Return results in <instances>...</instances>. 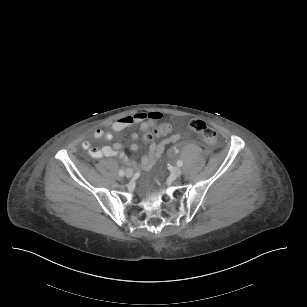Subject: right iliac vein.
Returning <instances> with one entry per match:
<instances>
[{
  "mask_svg": "<svg viewBox=\"0 0 307 307\" xmlns=\"http://www.w3.org/2000/svg\"><path fill=\"white\" fill-rule=\"evenodd\" d=\"M134 175V171L132 169H127L126 170V177L131 178Z\"/></svg>",
  "mask_w": 307,
  "mask_h": 307,
  "instance_id": "obj_1",
  "label": "right iliac vein"
}]
</instances>
